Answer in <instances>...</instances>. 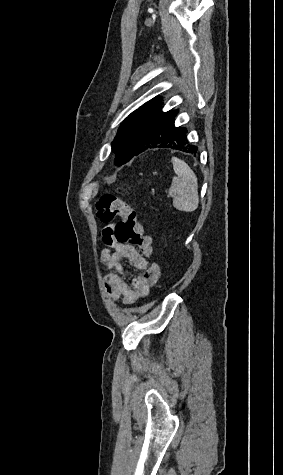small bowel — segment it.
I'll return each mask as SVG.
<instances>
[{
  "instance_id": "c3829d8e",
  "label": "small bowel",
  "mask_w": 283,
  "mask_h": 475,
  "mask_svg": "<svg viewBox=\"0 0 283 475\" xmlns=\"http://www.w3.org/2000/svg\"><path fill=\"white\" fill-rule=\"evenodd\" d=\"M117 224L116 219H106L101 227V243L108 246L100 253L102 263L109 270L104 275V285L112 299L124 305H132L138 299L148 295L151 287L159 280L161 268L158 263L153 262L150 271H143L141 254L136 251L135 247L128 243L115 241L114 229ZM124 259L129 260L135 268L142 271L141 274L132 278L131 284L123 279L126 274L123 265Z\"/></svg>"
}]
</instances>
